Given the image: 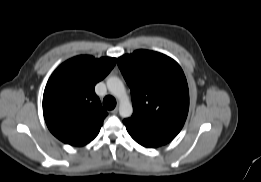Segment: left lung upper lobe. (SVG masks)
Instances as JSON below:
<instances>
[{
    "instance_id": "left-lung-upper-lobe-1",
    "label": "left lung upper lobe",
    "mask_w": 261,
    "mask_h": 182,
    "mask_svg": "<svg viewBox=\"0 0 261 182\" xmlns=\"http://www.w3.org/2000/svg\"><path fill=\"white\" fill-rule=\"evenodd\" d=\"M118 66L131 89L133 115L123 123L131 137L164 145L182 129L189 109L185 75L172 58L149 50H136L118 58Z\"/></svg>"
}]
</instances>
